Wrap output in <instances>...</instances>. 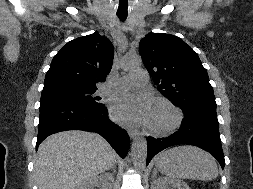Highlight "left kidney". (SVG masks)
<instances>
[{
  "label": "left kidney",
  "mask_w": 253,
  "mask_h": 189,
  "mask_svg": "<svg viewBox=\"0 0 253 189\" xmlns=\"http://www.w3.org/2000/svg\"><path fill=\"white\" fill-rule=\"evenodd\" d=\"M152 189H190V187L182 180L160 177L152 182Z\"/></svg>",
  "instance_id": "obj_1"
}]
</instances>
